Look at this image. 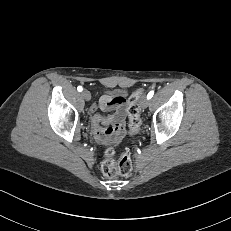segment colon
<instances>
[{
	"label": "colon",
	"instance_id": "1",
	"mask_svg": "<svg viewBox=\"0 0 231 231\" xmlns=\"http://www.w3.org/2000/svg\"><path fill=\"white\" fill-rule=\"evenodd\" d=\"M144 90L135 91L129 98L127 103L126 114L129 123V133L136 134L141 126V116L139 108V100L143 96ZM116 152L112 148L104 151L103 160L101 162V172L107 178H115L118 176H126L132 170V157L128 151L120 154L116 160Z\"/></svg>",
	"mask_w": 231,
	"mask_h": 231
}]
</instances>
